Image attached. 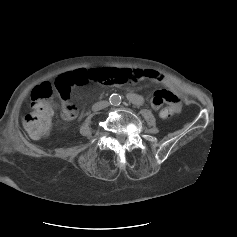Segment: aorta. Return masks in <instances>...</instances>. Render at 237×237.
Returning <instances> with one entry per match:
<instances>
[{
    "mask_svg": "<svg viewBox=\"0 0 237 237\" xmlns=\"http://www.w3.org/2000/svg\"><path fill=\"white\" fill-rule=\"evenodd\" d=\"M121 96L119 94H112L109 98V101H110V104L111 105H114V106H117V105H120L121 103Z\"/></svg>",
    "mask_w": 237,
    "mask_h": 237,
    "instance_id": "aorta-1",
    "label": "aorta"
}]
</instances>
